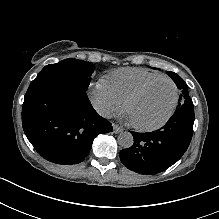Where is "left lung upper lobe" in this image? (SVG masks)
<instances>
[{"label": "left lung upper lobe", "instance_id": "obj_1", "mask_svg": "<svg viewBox=\"0 0 219 219\" xmlns=\"http://www.w3.org/2000/svg\"><path fill=\"white\" fill-rule=\"evenodd\" d=\"M167 74L175 82L177 88L180 89L182 92L179 97L178 107L176 111L193 109V103L188 94V86L186 85L184 80L174 72H167Z\"/></svg>", "mask_w": 219, "mask_h": 219}]
</instances>
